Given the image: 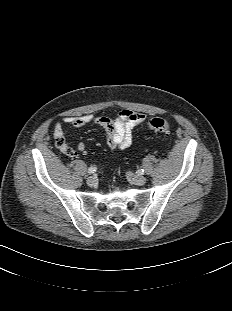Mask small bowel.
Wrapping results in <instances>:
<instances>
[{
    "label": "small bowel",
    "mask_w": 232,
    "mask_h": 311,
    "mask_svg": "<svg viewBox=\"0 0 232 311\" xmlns=\"http://www.w3.org/2000/svg\"><path fill=\"white\" fill-rule=\"evenodd\" d=\"M146 120V115L132 110H122L117 118L95 117L93 115H84L79 117H65L63 122L75 127L81 128L87 124H96L101 126L106 133V142L110 149H126L132 143L133 130ZM54 137L58 148L67 153L68 146L65 143V135L61 123H56L53 128ZM77 149L80 152L85 151V144L79 143Z\"/></svg>",
    "instance_id": "1"
}]
</instances>
